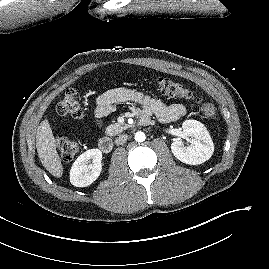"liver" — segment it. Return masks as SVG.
<instances>
[{"instance_id": "1", "label": "liver", "mask_w": 269, "mask_h": 269, "mask_svg": "<svg viewBox=\"0 0 269 269\" xmlns=\"http://www.w3.org/2000/svg\"><path fill=\"white\" fill-rule=\"evenodd\" d=\"M36 148L42 165L53 176H62L63 168L49 121L44 119L36 132Z\"/></svg>"}]
</instances>
